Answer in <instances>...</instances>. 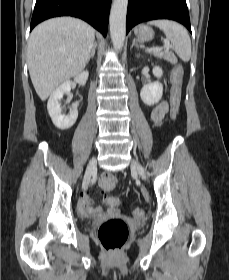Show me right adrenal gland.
I'll list each match as a JSON object with an SVG mask.
<instances>
[{
    "label": "right adrenal gland",
    "instance_id": "obj_1",
    "mask_svg": "<svg viewBox=\"0 0 229 280\" xmlns=\"http://www.w3.org/2000/svg\"><path fill=\"white\" fill-rule=\"evenodd\" d=\"M96 49H97V44H95L94 47L92 48L91 53L88 57L87 63H89L90 59L94 57Z\"/></svg>",
    "mask_w": 229,
    "mask_h": 280
}]
</instances>
